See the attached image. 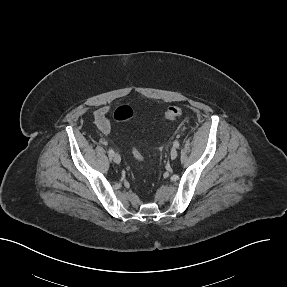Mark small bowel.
<instances>
[{"instance_id": "1", "label": "small bowel", "mask_w": 287, "mask_h": 287, "mask_svg": "<svg viewBox=\"0 0 287 287\" xmlns=\"http://www.w3.org/2000/svg\"><path fill=\"white\" fill-rule=\"evenodd\" d=\"M110 107L104 106L94 112V121L97 128L105 135H108L112 131V125L108 119L110 113Z\"/></svg>"}]
</instances>
